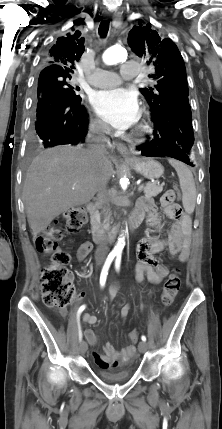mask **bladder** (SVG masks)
Masks as SVG:
<instances>
[{
    "label": "bladder",
    "mask_w": 222,
    "mask_h": 429,
    "mask_svg": "<svg viewBox=\"0 0 222 429\" xmlns=\"http://www.w3.org/2000/svg\"><path fill=\"white\" fill-rule=\"evenodd\" d=\"M131 375L132 373L130 370H119V371L100 370L97 372V376L99 379L110 383L127 381L131 377Z\"/></svg>",
    "instance_id": "1"
}]
</instances>
